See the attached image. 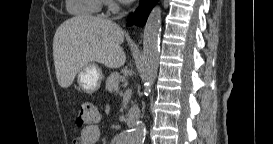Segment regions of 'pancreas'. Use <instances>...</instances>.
<instances>
[{
	"instance_id": "cf45deb5",
	"label": "pancreas",
	"mask_w": 273,
	"mask_h": 144,
	"mask_svg": "<svg viewBox=\"0 0 273 144\" xmlns=\"http://www.w3.org/2000/svg\"><path fill=\"white\" fill-rule=\"evenodd\" d=\"M125 78L117 72L111 73L106 79V90L110 93L117 92L119 89L120 81Z\"/></svg>"
}]
</instances>
